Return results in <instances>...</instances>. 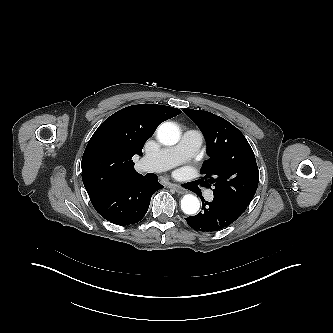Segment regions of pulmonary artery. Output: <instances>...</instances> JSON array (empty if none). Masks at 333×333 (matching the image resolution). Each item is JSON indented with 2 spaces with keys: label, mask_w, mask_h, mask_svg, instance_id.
<instances>
[{
  "label": "pulmonary artery",
  "mask_w": 333,
  "mask_h": 333,
  "mask_svg": "<svg viewBox=\"0 0 333 333\" xmlns=\"http://www.w3.org/2000/svg\"><path fill=\"white\" fill-rule=\"evenodd\" d=\"M203 143V135L199 130H187L179 143L156 153L146 155L140 162L141 169L150 172H161L173 168L193 156ZM206 199H213V192L206 193Z\"/></svg>",
  "instance_id": "1"
}]
</instances>
